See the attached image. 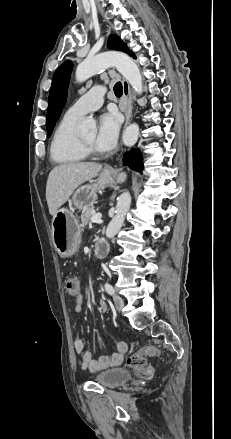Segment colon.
<instances>
[{
	"mask_svg": "<svg viewBox=\"0 0 231 439\" xmlns=\"http://www.w3.org/2000/svg\"><path fill=\"white\" fill-rule=\"evenodd\" d=\"M65 289L71 298H78V292L85 289L78 276H71L65 281ZM159 355V350L154 346H146L134 352L127 358V365L132 368L139 376L151 379L153 377V368L147 364V357Z\"/></svg>",
	"mask_w": 231,
	"mask_h": 439,
	"instance_id": "colon-1",
	"label": "colon"
}]
</instances>
